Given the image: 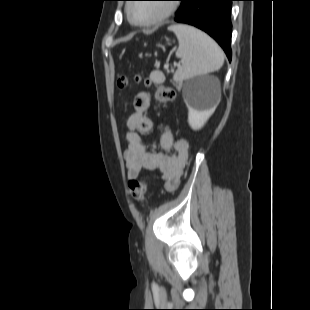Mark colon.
<instances>
[{"label":"colon","mask_w":310,"mask_h":310,"mask_svg":"<svg viewBox=\"0 0 310 310\" xmlns=\"http://www.w3.org/2000/svg\"><path fill=\"white\" fill-rule=\"evenodd\" d=\"M136 82H143L146 86L156 87V98L162 103H168L175 97V92L172 88L163 85V75L160 72H153L148 78L142 79L139 75L135 77ZM129 78L125 75L119 77L117 81L118 88L123 90L127 88ZM148 182L142 180H131L129 182L130 196L137 202H142L148 190Z\"/></svg>","instance_id":"colon-1"}]
</instances>
